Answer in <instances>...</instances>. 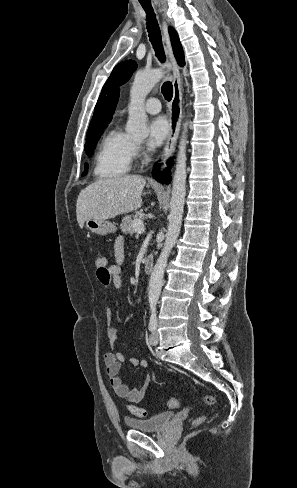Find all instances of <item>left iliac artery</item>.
Listing matches in <instances>:
<instances>
[{
  "label": "left iliac artery",
  "instance_id": "44dca946",
  "mask_svg": "<svg viewBox=\"0 0 297 488\" xmlns=\"http://www.w3.org/2000/svg\"><path fill=\"white\" fill-rule=\"evenodd\" d=\"M157 328V317H156V309L154 307L151 308V316L149 320V330L154 331Z\"/></svg>",
  "mask_w": 297,
  "mask_h": 488
}]
</instances>
